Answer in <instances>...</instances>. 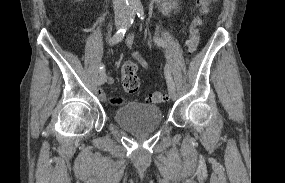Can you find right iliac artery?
Wrapping results in <instances>:
<instances>
[{
    "mask_svg": "<svg viewBox=\"0 0 285 183\" xmlns=\"http://www.w3.org/2000/svg\"><path fill=\"white\" fill-rule=\"evenodd\" d=\"M135 12H136V9H130L129 11V20H128V23L120 28L115 34L114 36L110 39L109 41V44L110 45H114V44H117L118 42H120L123 38H124V35L128 29V27L133 23L134 21V18H135ZM105 71L104 69V66L103 65H100L99 67V72L100 73H103Z\"/></svg>",
    "mask_w": 285,
    "mask_h": 183,
    "instance_id": "obj_1",
    "label": "right iliac artery"
}]
</instances>
